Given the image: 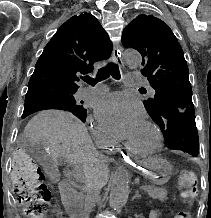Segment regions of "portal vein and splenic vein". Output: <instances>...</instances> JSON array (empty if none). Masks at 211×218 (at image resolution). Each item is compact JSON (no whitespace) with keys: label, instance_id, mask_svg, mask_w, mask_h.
Instances as JSON below:
<instances>
[{"label":"portal vein and splenic vein","instance_id":"obj_1","mask_svg":"<svg viewBox=\"0 0 211 218\" xmlns=\"http://www.w3.org/2000/svg\"><path fill=\"white\" fill-rule=\"evenodd\" d=\"M140 189H142V191H146V188H144V186H140Z\"/></svg>","mask_w":211,"mask_h":218}]
</instances>
